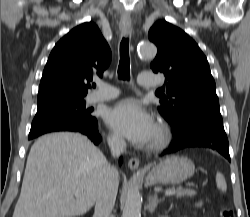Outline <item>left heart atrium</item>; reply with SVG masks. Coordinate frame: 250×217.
<instances>
[{
  "label": "left heart atrium",
  "mask_w": 250,
  "mask_h": 217,
  "mask_svg": "<svg viewBox=\"0 0 250 217\" xmlns=\"http://www.w3.org/2000/svg\"><path fill=\"white\" fill-rule=\"evenodd\" d=\"M106 123L135 144L148 143L156 129L151 115L135 99H125L105 113Z\"/></svg>",
  "instance_id": "1"
}]
</instances>
